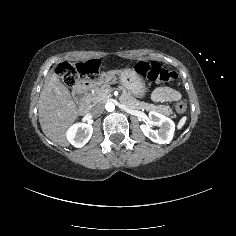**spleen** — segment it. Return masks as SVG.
I'll return each instance as SVG.
<instances>
[{
    "label": "spleen",
    "mask_w": 236,
    "mask_h": 236,
    "mask_svg": "<svg viewBox=\"0 0 236 236\" xmlns=\"http://www.w3.org/2000/svg\"><path fill=\"white\" fill-rule=\"evenodd\" d=\"M187 120H188L187 115H183V116L179 119V121H178V123H177V125H176V130H177V131H180V130L185 126Z\"/></svg>",
    "instance_id": "3e777b00"
}]
</instances>
